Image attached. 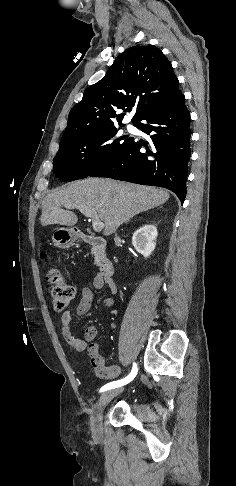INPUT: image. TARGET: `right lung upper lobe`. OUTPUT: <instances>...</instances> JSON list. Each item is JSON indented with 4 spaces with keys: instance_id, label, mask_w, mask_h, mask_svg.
Returning <instances> with one entry per match:
<instances>
[{
    "instance_id": "obj_1",
    "label": "right lung upper lobe",
    "mask_w": 236,
    "mask_h": 486,
    "mask_svg": "<svg viewBox=\"0 0 236 486\" xmlns=\"http://www.w3.org/2000/svg\"><path fill=\"white\" fill-rule=\"evenodd\" d=\"M172 65L162 51L153 46H134L120 54L107 74L89 86L82 100L69 113L61 143L119 124L124 113L137 104L132 122L150 106L176 99L182 93Z\"/></svg>"
}]
</instances>
